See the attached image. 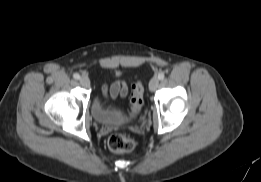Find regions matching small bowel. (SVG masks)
<instances>
[{
  "instance_id": "1",
  "label": "small bowel",
  "mask_w": 261,
  "mask_h": 182,
  "mask_svg": "<svg viewBox=\"0 0 261 182\" xmlns=\"http://www.w3.org/2000/svg\"><path fill=\"white\" fill-rule=\"evenodd\" d=\"M102 93L105 97L109 98H125L127 95V86L122 81H115L110 85L102 87Z\"/></svg>"
}]
</instances>
